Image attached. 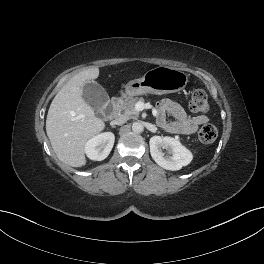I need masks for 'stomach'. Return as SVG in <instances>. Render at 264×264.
<instances>
[{
    "instance_id": "1",
    "label": "stomach",
    "mask_w": 264,
    "mask_h": 264,
    "mask_svg": "<svg viewBox=\"0 0 264 264\" xmlns=\"http://www.w3.org/2000/svg\"><path fill=\"white\" fill-rule=\"evenodd\" d=\"M188 76L183 71L167 66H158L147 71L140 79L129 81L125 85L129 97L144 94H169L183 90Z\"/></svg>"
}]
</instances>
